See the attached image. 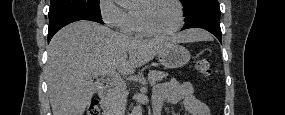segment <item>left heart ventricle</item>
I'll return each instance as SVG.
<instances>
[{
	"label": "left heart ventricle",
	"instance_id": "obj_1",
	"mask_svg": "<svg viewBox=\"0 0 285 115\" xmlns=\"http://www.w3.org/2000/svg\"><path fill=\"white\" fill-rule=\"evenodd\" d=\"M137 10L142 14L146 24L155 31L167 32L177 26V9L169 1L140 4Z\"/></svg>",
	"mask_w": 285,
	"mask_h": 115
}]
</instances>
